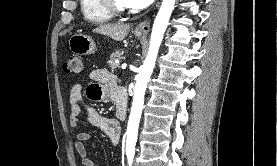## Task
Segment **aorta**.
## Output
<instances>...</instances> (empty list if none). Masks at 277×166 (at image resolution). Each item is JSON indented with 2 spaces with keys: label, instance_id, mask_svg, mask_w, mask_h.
I'll return each instance as SVG.
<instances>
[{
  "label": "aorta",
  "instance_id": "762f6f07",
  "mask_svg": "<svg viewBox=\"0 0 277 166\" xmlns=\"http://www.w3.org/2000/svg\"><path fill=\"white\" fill-rule=\"evenodd\" d=\"M175 0H163L159 12L153 24L150 46L147 57L140 68L136 77V85L132 109L127 127L126 149L134 150L137 142L139 121L143 109L144 95L147 83L152 75L159 47L161 45L164 33L168 26L171 13L174 9Z\"/></svg>",
  "mask_w": 277,
  "mask_h": 166
}]
</instances>
